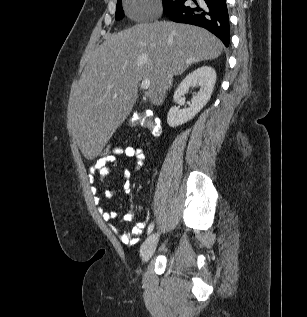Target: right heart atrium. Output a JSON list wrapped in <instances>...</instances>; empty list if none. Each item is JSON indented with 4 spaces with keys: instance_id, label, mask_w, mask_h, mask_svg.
Masks as SVG:
<instances>
[{
    "instance_id": "right-heart-atrium-1",
    "label": "right heart atrium",
    "mask_w": 307,
    "mask_h": 317,
    "mask_svg": "<svg viewBox=\"0 0 307 317\" xmlns=\"http://www.w3.org/2000/svg\"><path fill=\"white\" fill-rule=\"evenodd\" d=\"M144 1V0H139ZM157 10L152 6H138L133 13V16L137 19H146L153 17L156 14Z\"/></svg>"
}]
</instances>
